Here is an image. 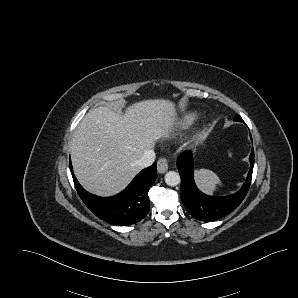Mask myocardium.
<instances>
[{
	"label": "myocardium",
	"instance_id": "obj_1",
	"mask_svg": "<svg viewBox=\"0 0 298 298\" xmlns=\"http://www.w3.org/2000/svg\"><path fill=\"white\" fill-rule=\"evenodd\" d=\"M200 129H202V133H205L209 130V126L206 123H202Z\"/></svg>",
	"mask_w": 298,
	"mask_h": 298
}]
</instances>
